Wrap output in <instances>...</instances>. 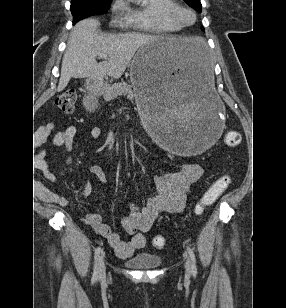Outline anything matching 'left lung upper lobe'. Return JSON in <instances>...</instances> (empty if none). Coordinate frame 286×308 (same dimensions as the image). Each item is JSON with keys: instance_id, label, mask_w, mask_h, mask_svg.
I'll return each mask as SVG.
<instances>
[{"instance_id": "obj_1", "label": "left lung upper lobe", "mask_w": 286, "mask_h": 308, "mask_svg": "<svg viewBox=\"0 0 286 308\" xmlns=\"http://www.w3.org/2000/svg\"><path fill=\"white\" fill-rule=\"evenodd\" d=\"M185 2L188 3L189 6H191L195 10H197L199 12L202 11V5H201L200 0H185Z\"/></svg>"}]
</instances>
